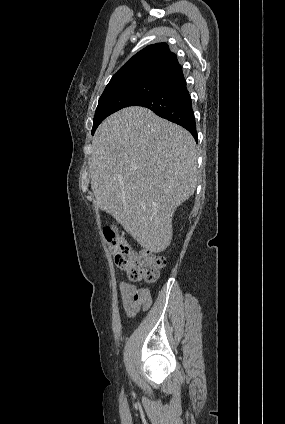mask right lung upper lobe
<instances>
[{
  "mask_svg": "<svg viewBox=\"0 0 285 424\" xmlns=\"http://www.w3.org/2000/svg\"><path fill=\"white\" fill-rule=\"evenodd\" d=\"M181 75L176 55L166 43H157L135 54L113 75L105 89L143 81L165 84Z\"/></svg>",
  "mask_w": 285,
  "mask_h": 424,
  "instance_id": "cb5924a9",
  "label": "right lung upper lobe"
}]
</instances>
